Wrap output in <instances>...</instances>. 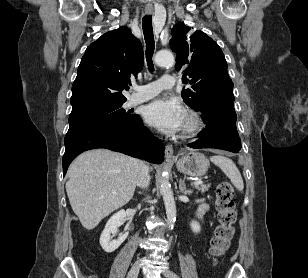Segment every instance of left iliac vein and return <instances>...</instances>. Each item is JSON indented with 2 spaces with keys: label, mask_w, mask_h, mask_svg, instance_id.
Here are the masks:
<instances>
[{
  "label": "left iliac vein",
  "mask_w": 308,
  "mask_h": 278,
  "mask_svg": "<svg viewBox=\"0 0 308 278\" xmlns=\"http://www.w3.org/2000/svg\"><path fill=\"white\" fill-rule=\"evenodd\" d=\"M164 276L166 278H179L178 275L176 273H174L173 271L169 270V269H166L164 272H163Z\"/></svg>",
  "instance_id": "left-iliac-vein-1"
}]
</instances>
